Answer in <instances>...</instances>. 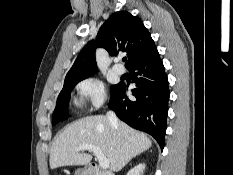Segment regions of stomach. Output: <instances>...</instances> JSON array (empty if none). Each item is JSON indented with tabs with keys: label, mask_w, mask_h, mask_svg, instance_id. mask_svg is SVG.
I'll use <instances>...</instances> for the list:
<instances>
[{
	"label": "stomach",
	"mask_w": 233,
	"mask_h": 175,
	"mask_svg": "<svg viewBox=\"0 0 233 175\" xmlns=\"http://www.w3.org/2000/svg\"><path fill=\"white\" fill-rule=\"evenodd\" d=\"M75 175H88L86 170L79 169L76 171Z\"/></svg>",
	"instance_id": "stomach-1"
}]
</instances>
